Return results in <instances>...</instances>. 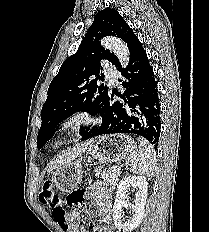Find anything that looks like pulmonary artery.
<instances>
[{
  "instance_id": "obj_1",
  "label": "pulmonary artery",
  "mask_w": 209,
  "mask_h": 232,
  "mask_svg": "<svg viewBox=\"0 0 209 232\" xmlns=\"http://www.w3.org/2000/svg\"><path fill=\"white\" fill-rule=\"evenodd\" d=\"M105 75H106L107 79H109L112 83H114L116 81L118 72L115 68L109 67L106 69Z\"/></svg>"
}]
</instances>
